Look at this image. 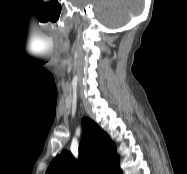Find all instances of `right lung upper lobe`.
<instances>
[{"instance_id":"right-lung-upper-lobe-1","label":"right lung upper lobe","mask_w":187,"mask_h":174,"mask_svg":"<svg viewBox=\"0 0 187 174\" xmlns=\"http://www.w3.org/2000/svg\"><path fill=\"white\" fill-rule=\"evenodd\" d=\"M45 174H122L119 156L110 137L92 120L83 125L79 157L64 150Z\"/></svg>"}]
</instances>
